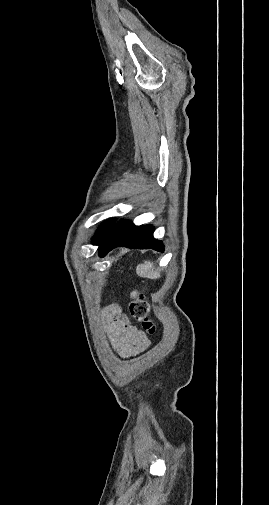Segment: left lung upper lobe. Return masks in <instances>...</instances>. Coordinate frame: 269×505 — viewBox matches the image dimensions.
Listing matches in <instances>:
<instances>
[{
    "label": "left lung upper lobe",
    "instance_id": "left-lung-upper-lobe-1",
    "mask_svg": "<svg viewBox=\"0 0 269 505\" xmlns=\"http://www.w3.org/2000/svg\"><path fill=\"white\" fill-rule=\"evenodd\" d=\"M116 219H111L106 222H104L99 230L96 232V235L93 238V243L98 244L106 235L107 233L111 230L113 225L115 224Z\"/></svg>",
    "mask_w": 269,
    "mask_h": 505
}]
</instances>
